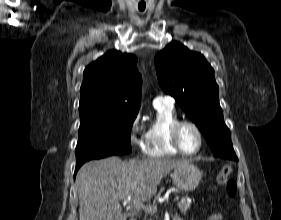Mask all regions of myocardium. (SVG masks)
<instances>
[{
  "label": "myocardium",
  "mask_w": 281,
  "mask_h": 220,
  "mask_svg": "<svg viewBox=\"0 0 281 220\" xmlns=\"http://www.w3.org/2000/svg\"><path fill=\"white\" fill-rule=\"evenodd\" d=\"M184 126L192 127L196 131V133L198 135L199 145H198V148L195 151H193V152H187L181 146V143H180V131H181V129ZM170 141H171L172 146L180 154H182L184 156H194V155L198 154L201 151L202 146H203V142H204V136H203L202 130L200 129V127L195 122L190 121V120H179L176 123H174L173 126L171 127V130H170Z\"/></svg>",
  "instance_id": "f54148a6"
}]
</instances>
